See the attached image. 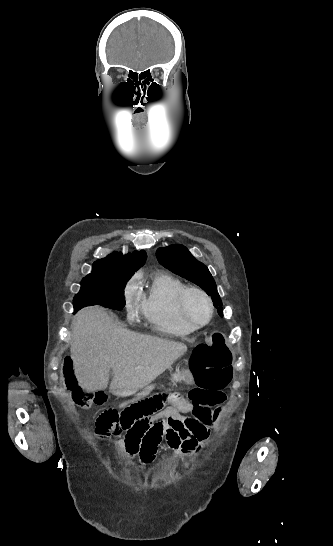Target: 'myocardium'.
<instances>
[{"instance_id": "obj_1", "label": "myocardium", "mask_w": 333, "mask_h": 546, "mask_svg": "<svg viewBox=\"0 0 333 546\" xmlns=\"http://www.w3.org/2000/svg\"><path fill=\"white\" fill-rule=\"evenodd\" d=\"M192 296L201 297L208 305L209 316L204 322H196L189 314L188 305ZM178 310L183 321L194 329L205 327L211 322L214 316V304L211 297L204 290L197 287H186L181 292L178 298Z\"/></svg>"}]
</instances>
